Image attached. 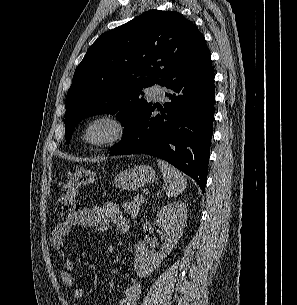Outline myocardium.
Returning a JSON list of instances; mask_svg holds the SVG:
<instances>
[{
  "label": "myocardium",
  "mask_w": 297,
  "mask_h": 305,
  "mask_svg": "<svg viewBox=\"0 0 297 305\" xmlns=\"http://www.w3.org/2000/svg\"><path fill=\"white\" fill-rule=\"evenodd\" d=\"M104 124L110 128V133L103 139L95 140L89 136L90 130ZM127 134V125L122 117L114 113H101L85 120L79 131L82 143L88 148H105L119 143Z\"/></svg>",
  "instance_id": "obj_1"
}]
</instances>
